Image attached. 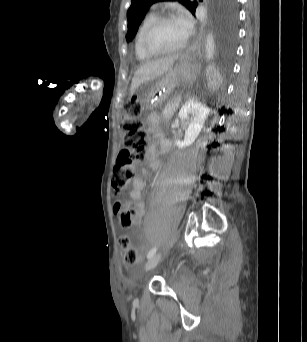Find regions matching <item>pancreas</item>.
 Here are the masks:
<instances>
[{
  "mask_svg": "<svg viewBox=\"0 0 307 342\" xmlns=\"http://www.w3.org/2000/svg\"><path fill=\"white\" fill-rule=\"evenodd\" d=\"M169 101L172 104H179L180 99H179V97H172ZM161 114H162L163 117H172L173 114H174L172 106H165V108H164V110L162 111Z\"/></svg>",
  "mask_w": 307,
  "mask_h": 342,
  "instance_id": "cf45deb5",
  "label": "pancreas"
}]
</instances>
